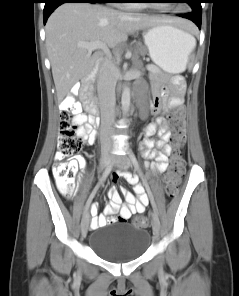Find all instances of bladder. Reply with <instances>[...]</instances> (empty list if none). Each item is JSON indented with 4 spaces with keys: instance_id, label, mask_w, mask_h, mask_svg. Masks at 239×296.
<instances>
[{
    "instance_id": "1",
    "label": "bladder",
    "mask_w": 239,
    "mask_h": 296,
    "mask_svg": "<svg viewBox=\"0 0 239 296\" xmlns=\"http://www.w3.org/2000/svg\"><path fill=\"white\" fill-rule=\"evenodd\" d=\"M151 243L147 230L129 223L103 226L91 237L90 247L101 258L127 262L140 258Z\"/></svg>"
}]
</instances>
